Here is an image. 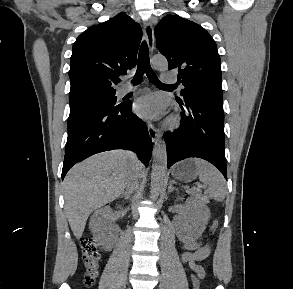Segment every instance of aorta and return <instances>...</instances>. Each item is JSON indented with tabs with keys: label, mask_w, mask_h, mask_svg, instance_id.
<instances>
[{
	"label": "aorta",
	"mask_w": 293,
	"mask_h": 289,
	"mask_svg": "<svg viewBox=\"0 0 293 289\" xmlns=\"http://www.w3.org/2000/svg\"><path fill=\"white\" fill-rule=\"evenodd\" d=\"M152 64L157 69H166L167 60L163 57H154ZM167 172L166 144L161 138H157L153 148V164L151 173V198L156 199L164 185Z\"/></svg>",
	"instance_id": "762f6f07"
}]
</instances>
